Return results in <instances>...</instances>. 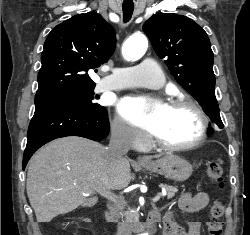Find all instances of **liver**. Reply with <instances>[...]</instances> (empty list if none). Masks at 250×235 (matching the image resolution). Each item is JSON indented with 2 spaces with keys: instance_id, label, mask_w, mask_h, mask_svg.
I'll return each mask as SVG.
<instances>
[{
  "instance_id": "6515ba94",
  "label": "liver",
  "mask_w": 250,
  "mask_h": 235,
  "mask_svg": "<svg viewBox=\"0 0 250 235\" xmlns=\"http://www.w3.org/2000/svg\"><path fill=\"white\" fill-rule=\"evenodd\" d=\"M104 152L97 142L69 136L49 143L31 158L26 190L37 222H50L80 205L94 204L85 194L129 185L134 175L128 160L111 165Z\"/></svg>"
}]
</instances>
